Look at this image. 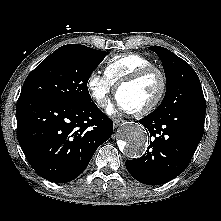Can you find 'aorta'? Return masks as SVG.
<instances>
[{
    "label": "aorta",
    "mask_w": 221,
    "mask_h": 221,
    "mask_svg": "<svg viewBox=\"0 0 221 221\" xmlns=\"http://www.w3.org/2000/svg\"><path fill=\"white\" fill-rule=\"evenodd\" d=\"M124 141L120 150L127 157L138 158L143 155L148 146V134L146 130L137 124L126 125L123 129Z\"/></svg>",
    "instance_id": "aorta-1"
}]
</instances>
